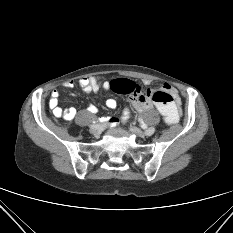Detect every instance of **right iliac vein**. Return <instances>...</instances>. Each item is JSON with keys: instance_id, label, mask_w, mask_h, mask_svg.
<instances>
[{"instance_id": "63e3f726", "label": "right iliac vein", "mask_w": 233, "mask_h": 233, "mask_svg": "<svg viewBox=\"0 0 233 233\" xmlns=\"http://www.w3.org/2000/svg\"><path fill=\"white\" fill-rule=\"evenodd\" d=\"M104 127L105 124H103V128H90V133L93 134L95 137H99Z\"/></svg>"}]
</instances>
